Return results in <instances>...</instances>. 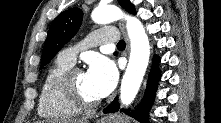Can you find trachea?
<instances>
[{
	"label": "trachea",
	"instance_id": "trachea-1",
	"mask_svg": "<svg viewBox=\"0 0 221 123\" xmlns=\"http://www.w3.org/2000/svg\"><path fill=\"white\" fill-rule=\"evenodd\" d=\"M117 46H118V47H125V42H124V40H120V41L117 43Z\"/></svg>",
	"mask_w": 221,
	"mask_h": 123
}]
</instances>
